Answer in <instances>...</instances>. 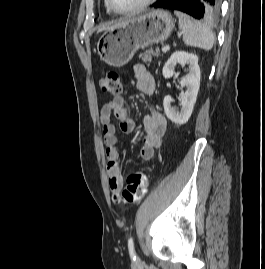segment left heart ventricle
<instances>
[{
	"mask_svg": "<svg viewBox=\"0 0 265 269\" xmlns=\"http://www.w3.org/2000/svg\"><path fill=\"white\" fill-rule=\"evenodd\" d=\"M144 0H111L112 5L118 10L131 9Z\"/></svg>",
	"mask_w": 265,
	"mask_h": 269,
	"instance_id": "1",
	"label": "left heart ventricle"
}]
</instances>
